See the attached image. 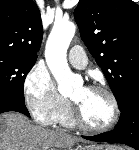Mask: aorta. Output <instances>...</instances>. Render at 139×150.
I'll list each match as a JSON object with an SVG mask.
<instances>
[{
  "label": "aorta",
  "instance_id": "aorta-1",
  "mask_svg": "<svg viewBox=\"0 0 139 150\" xmlns=\"http://www.w3.org/2000/svg\"><path fill=\"white\" fill-rule=\"evenodd\" d=\"M75 31L74 23L55 21L45 48L47 65L58 82V90L63 96L71 95L76 85V78L70 71L66 58Z\"/></svg>",
  "mask_w": 139,
  "mask_h": 150
}]
</instances>
